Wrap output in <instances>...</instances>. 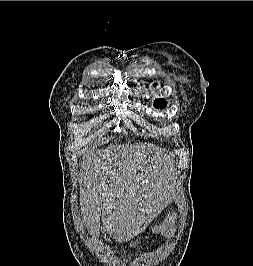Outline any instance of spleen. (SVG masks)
I'll return each instance as SVG.
<instances>
[{
  "mask_svg": "<svg viewBox=\"0 0 253 266\" xmlns=\"http://www.w3.org/2000/svg\"><path fill=\"white\" fill-rule=\"evenodd\" d=\"M175 227L176 222L167 218V220L163 222V233L165 235H173L175 233Z\"/></svg>",
  "mask_w": 253,
  "mask_h": 266,
  "instance_id": "spleen-1",
  "label": "spleen"
}]
</instances>
